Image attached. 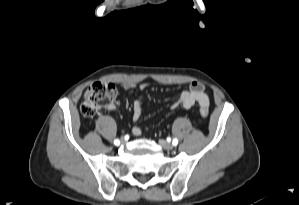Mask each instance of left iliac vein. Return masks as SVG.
<instances>
[{
    "label": "left iliac vein",
    "mask_w": 299,
    "mask_h": 205,
    "mask_svg": "<svg viewBox=\"0 0 299 205\" xmlns=\"http://www.w3.org/2000/svg\"><path fill=\"white\" fill-rule=\"evenodd\" d=\"M159 144L162 148H164L166 150H172L174 148V145L172 143H169L163 139L159 140Z\"/></svg>",
    "instance_id": "4c4485c4"
}]
</instances>
